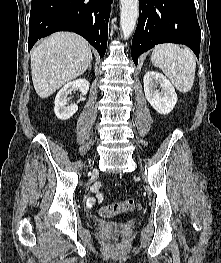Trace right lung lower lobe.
I'll list each match as a JSON object with an SVG mask.
<instances>
[{
	"instance_id": "right-lung-lower-lobe-1",
	"label": "right lung lower lobe",
	"mask_w": 221,
	"mask_h": 263,
	"mask_svg": "<svg viewBox=\"0 0 221 263\" xmlns=\"http://www.w3.org/2000/svg\"><path fill=\"white\" fill-rule=\"evenodd\" d=\"M111 3L112 0H32L28 50L42 37L72 31L83 36L103 57Z\"/></svg>"
}]
</instances>
